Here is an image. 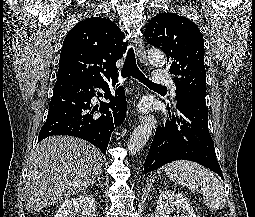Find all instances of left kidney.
Listing matches in <instances>:
<instances>
[{
    "mask_svg": "<svg viewBox=\"0 0 255 217\" xmlns=\"http://www.w3.org/2000/svg\"><path fill=\"white\" fill-rule=\"evenodd\" d=\"M177 208L182 214L180 217H196L192 206L182 194L172 190H164L157 200L155 217H170L171 212ZM174 217H177L174 215ZM179 217V216H178Z\"/></svg>",
    "mask_w": 255,
    "mask_h": 217,
    "instance_id": "5707ae66",
    "label": "left kidney"
}]
</instances>
